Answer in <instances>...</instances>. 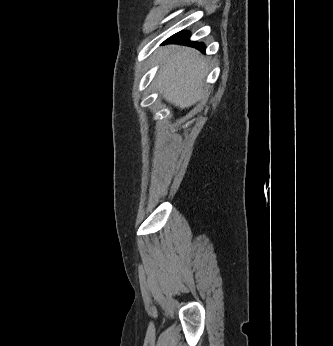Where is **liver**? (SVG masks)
I'll return each instance as SVG.
<instances>
[{"instance_id":"liver-1","label":"liver","mask_w":333,"mask_h":346,"mask_svg":"<svg viewBox=\"0 0 333 346\" xmlns=\"http://www.w3.org/2000/svg\"><path fill=\"white\" fill-rule=\"evenodd\" d=\"M162 66L156 77L157 89L181 109L194 105L204 93L207 60L190 47L169 46L157 52Z\"/></svg>"}]
</instances>
